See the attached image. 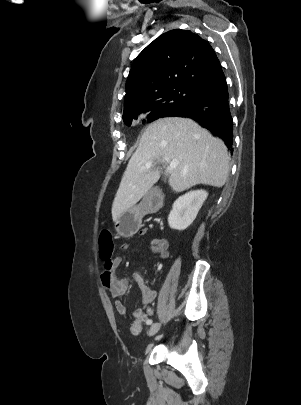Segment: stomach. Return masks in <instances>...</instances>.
<instances>
[{"label": "stomach", "mask_w": 301, "mask_h": 405, "mask_svg": "<svg viewBox=\"0 0 301 405\" xmlns=\"http://www.w3.org/2000/svg\"><path fill=\"white\" fill-rule=\"evenodd\" d=\"M142 211L131 208L124 212L115 223L117 232L122 236L134 234L141 227Z\"/></svg>", "instance_id": "stomach-1"}]
</instances>
